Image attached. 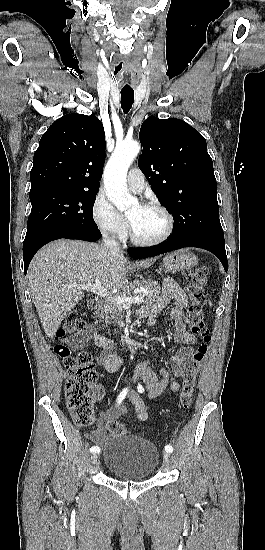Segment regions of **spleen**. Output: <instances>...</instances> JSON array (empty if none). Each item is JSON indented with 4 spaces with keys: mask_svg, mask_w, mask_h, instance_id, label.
<instances>
[{
    "mask_svg": "<svg viewBox=\"0 0 265 550\" xmlns=\"http://www.w3.org/2000/svg\"><path fill=\"white\" fill-rule=\"evenodd\" d=\"M209 305L211 306V305H212V303H211V302H209Z\"/></svg>",
    "mask_w": 265,
    "mask_h": 550,
    "instance_id": "obj_1",
    "label": "spleen"
}]
</instances>
